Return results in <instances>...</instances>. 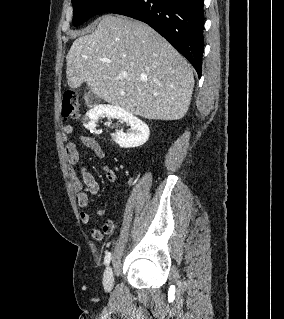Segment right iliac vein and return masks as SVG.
<instances>
[{"mask_svg": "<svg viewBox=\"0 0 284 319\" xmlns=\"http://www.w3.org/2000/svg\"><path fill=\"white\" fill-rule=\"evenodd\" d=\"M114 285V276L111 266H108L104 271L103 286L106 291H110Z\"/></svg>", "mask_w": 284, "mask_h": 319, "instance_id": "1", "label": "right iliac vein"}]
</instances>
